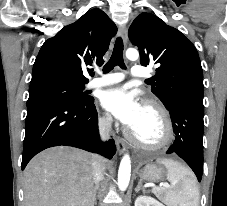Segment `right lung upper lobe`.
I'll use <instances>...</instances> for the list:
<instances>
[{"mask_svg": "<svg viewBox=\"0 0 227 206\" xmlns=\"http://www.w3.org/2000/svg\"><path fill=\"white\" fill-rule=\"evenodd\" d=\"M116 32L117 27L102 10H89L44 42L33 65L31 83L46 79L88 83L83 71L86 66L104 63Z\"/></svg>", "mask_w": 227, "mask_h": 206, "instance_id": "obj_1", "label": "right lung upper lobe"}]
</instances>
